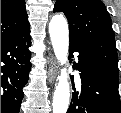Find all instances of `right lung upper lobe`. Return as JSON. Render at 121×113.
I'll list each match as a JSON object with an SVG mask.
<instances>
[{
	"instance_id": "obj_1",
	"label": "right lung upper lobe",
	"mask_w": 121,
	"mask_h": 113,
	"mask_svg": "<svg viewBox=\"0 0 121 113\" xmlns=\"http://www.w3.org/2000/svg\"><path fill=\"white\" fill-rule=\"evenodd\" d=\"M29 29L24 0H1V42Z\"/></svg>"
}]
</instances>
